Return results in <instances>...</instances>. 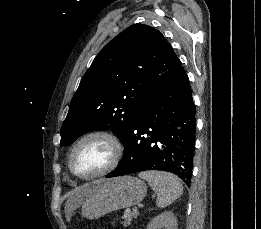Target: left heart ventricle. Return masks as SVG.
<instances>
[{
	"label": "left heart ventricle",
	"instance_id": "obj_1",
	"mask_svg": "<svg viewBox=\"0 0 261 229\" xmlns=\"http://www.w3.org/2000/svg\"><path fill=\"white\" fill-rule=\"evenodd\" d=\"M111 149L101 139H92L75 151L73 165L76 170L84 174H92L103 169L110 161Z\"/></svg>",
	"mask_w": 261,
	"mask_h": 229
}]
</instances>
